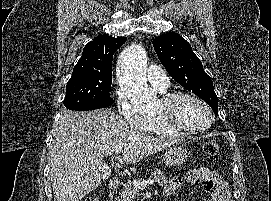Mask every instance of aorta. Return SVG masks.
Wrapping results in <instances>:
<instances>
[{"mask_svg":"<svg viewBox=\"0 0 271 201\" xmlns=\"http://www.w3.org/2000/svg\"><path fill=\"white\" fill-rule=\"evenodd\" d=\"M147 56L145 49L132 44L124 49L117 61V76L122 90L140 107L153 106L155 92L146 83Z\"/></svg>","mask_w":271,"mask_h":201,"instance_id":"762f6f07","label":"aorta"}]
</instances>
